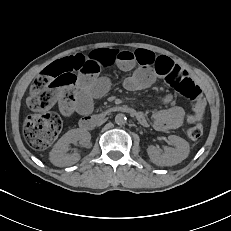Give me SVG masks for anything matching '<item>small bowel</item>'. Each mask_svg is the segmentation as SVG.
<instances>
[{"label":"small bowel","mask_w":231,"mask_h":231,"mask_svg":"<svg viewBox=\"0 0 231 231\" xmlns=\"http://www.w3.org/2000/svg\"><path fill=\"white\" fill-rule=\"evenodd\" d=\"M59 61L66 62L75 75L71 98L59 99V109L65 117L74 112L85 114L92 110L93 99L103 96L110 87L109 80L102 77L101 72L113 65L123 71L133 70L123 83L130 91L149 87L158 76L168 81L172 74L187 73L171 58L156 56L145 49H99L88 54L70 55ZM171 100L170 95L166 96L164 103L168 104ZM139 114L138 120L141 124H150L158 131H167L185 124L201 122L205 115V103L201 97L195 99L190 114H186L181 107L171 106L155 112L151 121L142 112Z\"/></svg>","instance_id":"1"}]
</instances>
